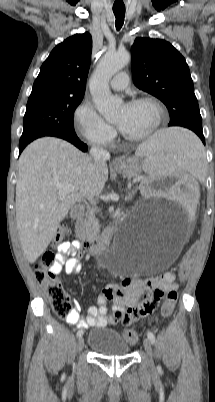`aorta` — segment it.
<instances>
[{"label": "aorta", "instance_id": "aorta-1", "mask_svg": "<svg viewBox=\"0 0 215 402\" xmlns=\"http://www.w3.org/2000/svg\"><path fill=\"white\" fill-rule=\"evenodd\" d=\"M130 61V54L127 51L106 53L97 65L89 83L90 93L98 112L107 120H113L122 105V99L112 95L109 88V81L114 74L123 69ZM109 261L114 269L122 266V258L114 257L112 254L103 256Z\"/></svg>", "mask_w": 215, "mask_h": 402}]
</instances>
